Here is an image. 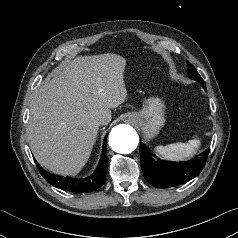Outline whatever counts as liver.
I'll list each match as a JSON object with an SVG mask.
<instances>
[{
    "instance_id": "liver-1",
    "label": "liver",
    "mask_w": 238,
    "mask_h": 238,
    "mask_svg": "<svg viewBox=\"0 0 238 238\" xmlns=\"http://www.w3.org/2000/svg\"><path fill=\"white\" fill-rule=\"evenodd\" d=\"M125 67L116 54L77 57L35 90L27 136L44 168L60 175L81 171L97 137V121L108 124L110 109L127 99Z\"/></svg>"
}]
</instances>
